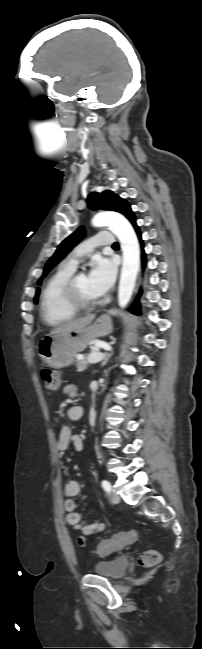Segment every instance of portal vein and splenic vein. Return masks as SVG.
I'll list each match as a JSON object with an SVG mask.
<instances>
[{"label":"portal vein and splenic vein","instance_id":"obj_1","mask_svg":"<svg viewBox=\"0 0 202 649\" xmlns=\"http://www.w3.org/2000/svg\"><path fill=\"white\" fill-rule=\"evenodd\" d=\"M102 358H103V354H97L96 352H94L88 357L87 360L91 364H96V363L100 362L102 360ZM81 359H83V358H81Z\"/></svg>","mask_w":202,"mask_h":649}]
</instances>
